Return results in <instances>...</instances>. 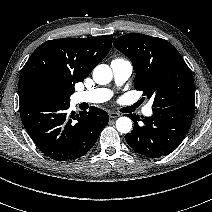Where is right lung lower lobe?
Wrapping results in <instances>:
<instances>
[{
    "instance_id": "1",
    "label": "right lung lower lobe",
    "mask_w": 212,
    "mask_h": 212,
    "mask_svg": "<svg viewBox=\"0 0 212 212\" xmlns=\"http://www.w3.org/2000/svg\"><path fill=\"white\" fill-rule=\"evenodd\" d=\"M70 103L28 102L20 105L22 123L35 145L56 161L85 155L96 143L109 121L108 114L91 107L89 112L67 113Z\"/></svg>"
}]
</instances>
